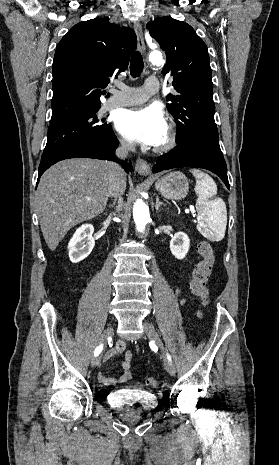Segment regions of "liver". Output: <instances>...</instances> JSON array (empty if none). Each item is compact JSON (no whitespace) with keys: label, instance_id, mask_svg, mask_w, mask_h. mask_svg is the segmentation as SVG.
<instances>
[{"label":"liver","instance_id":"1","mask_svg":"<svg viewBox=\"0 0 279 465\" xmlns=\"http://www.w3.org/2000/svg\"><path fill=\"white\" fill-rule=\"evenodd\" d=\"M109 175V162L85 158L60 161L42 175L36 192V210L50 250L56 249L72 227L105 210ZM120 187L124 193V173L120 175ZM87 197L91 200H86Z\"/></svg>","mask_w":279,"mask_h":465}]
</instances>
